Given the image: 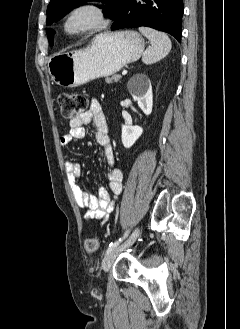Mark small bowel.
Returning <instances> with one entry per match:
<instances>
[{"label": "small bowel", "instance_id": "obj_1", "mask_svg": "<svg viewBox=\"0 0 240 329\" xmlns=\"http://www.w3.org/2000/svg\"><path fill=\"white\" fill-rule=\"evenodd\" d=\"M91 123L95 129V140L102 148L107 162V188L99 187L96 195L89 194L78 183L81 176L80 164L73 160H67L65 170L76 203L86 209L85 218L87 220L99 219L104 223L108 214L114 209L115 196L121 192L122 173L115 165L113 149L108 135V125L102 105L98 100L92 99L89 108L71 120L69 132L60 138V143L67 147L74 140L82 139L85 136V126ZM110 193L114 197H111Z\"/></svg>", "mask_w": 240, "mask_h": 329}]
</instances>
